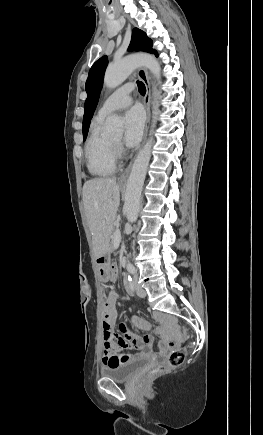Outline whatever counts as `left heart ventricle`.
<instances>
[{
  "label": "left heart ventricle",
  "mask_w": 263,
  "mask_h": 435,
  "mask_svg": "<svg viewBox=\"0 0 263 435\" xmlns=\"http://www.w3.org/2000/svg\"><path fill=\"white\" fill-rule=\"evenodd\" d=\"M111 141H113L114 143H119L121 141V137L117 136L111 139Z\"/></svg>",
  "instance_id": "left-heart-ventricle-1"
}]
</instances>
